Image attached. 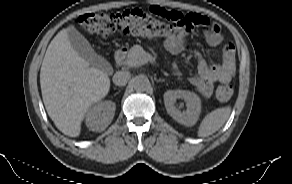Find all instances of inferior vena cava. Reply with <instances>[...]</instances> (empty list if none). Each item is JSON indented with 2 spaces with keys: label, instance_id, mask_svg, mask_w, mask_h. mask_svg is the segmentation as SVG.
Returning <instances> with one entry per match:
<instances>
[{
  "label": "inferior vena cava",
  "instance_id": "1",
  "mask_svg": "<svg viewBox=\"0 0 292 184\" xmlns=\"http://www.w3.org/2000/svg\"><path fill=\"white\" fill-rule=\"evenodd\" d=\"M131 75L128 71H118L114 74L112 80L117 86H125L129 81Z\"/></svg>",
  "mask_w": 292,
  "mask_h": 184
}]
</instances>
